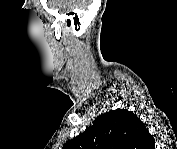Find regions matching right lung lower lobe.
Returning a JSON list of instances; mask_svg holds the SVG:
<instances>
[{"label":"right lung lower lobe","mask_w":177,"mask_h":149,"mask_svg":"<svg viewBox=\"0 0 177 149\" xmlns=\"http://www.w3.org/2000/svg\"><path fill=\"white\" fill-rule=\"evenodd\" d=\"M150 139L152 140L153 137H151ZM154 144H155V142H153V143L151 144V148H154Z\"/></svg>","instance_id":"98d812e1"}]
</instances>
